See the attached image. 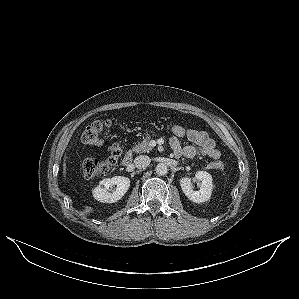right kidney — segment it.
Segmentation results:
<instances>
[{
  "mask_svg": "<svg viewBox=\"0 0 299 299\" xmlns=\"http://www.w3.org/2000/svg\"><path fill=\"white\" fill-rule=\"evenodd\" d=\"M114 185H116V188L110 192V188ZM129 186L130 179L127 177L106 178L100 181L99 185L93 190V197L103 203H114L124 196Z\"/></svg>",
  "mask_w": 299,
  "mask_h": 299,
  "instance_id": "ca27d5eb",
  "label": "right kidney"
}]
</instances>
